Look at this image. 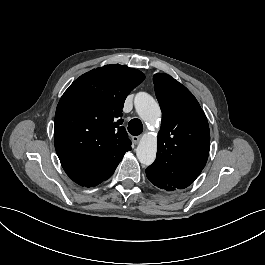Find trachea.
I'll return each mask as SVG.
<instances>
[{"instance_id":"trachea-1","label":"trachea","mask_w":265,"mask_h":265,"mask_svg":"<svg viewBox=\"0 0 265 265\" xmlns=\"http://www.w3.org/2000/svg\"><path fill=\"white\" fill-rule=\"evenodd\" d=\"M128 131L134 136H138L143 131V125L141 121L137 118L132 119L128 124Z\"/></svg>"}]
</instances>
